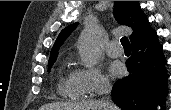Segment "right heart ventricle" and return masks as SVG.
Returning a JSON list of instances; mask_svg holds the SVG:
<instances>
[{
	"mask_svg": "<svg viewBox=\"0 0 171 110\" xmlns=\"http://www.w3.org/2000/svg\"><path fill=\"white\" fill-rule=\"evenodd\" d=\"M59 94L70 100H78L84 97L83 90L75 78L74 72L62 71L58 82Z\"/></svg>",
	"mask_w": 171,
	"mask_h": 110,
	"instance_id": "right-heart-ventricle-1",
	"label": "right heart ventricle"
}]
</instances>
